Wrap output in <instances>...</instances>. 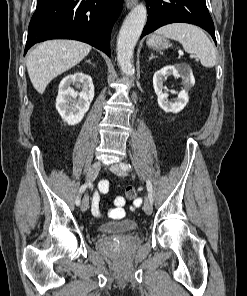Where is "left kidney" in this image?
<instances>
[{"instance_id":"1","label":"left kidney","mask_w":247,"mask_h":296,"mask_svg":"<svg viewBox=\"0 0 247 296\" xmlns=\"http://www.w3.org/2000/svg\"><path fill=\"white\" fill-rule=\"evenodd\" d=\"M173 75L175 78H181L184 89L179 92L177 99L170 101L168 94L164 93L163 82L167 76ZM195 79L188 65L180 64L176 66H166L157 71L153 76V87L158 97V105L165 112L178 113L184 109L189 101L188 91L194 86Z\"/></svg>"}]
</instances>
